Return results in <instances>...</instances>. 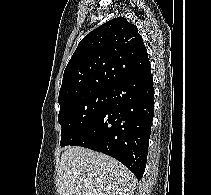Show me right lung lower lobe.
Masks as SVG:
<instances>
[{
  "label": "right lung lower lobe",
  "mask_w": 211,
  "mask_h": 195,
  "mask_svg": "<svg viewBox=\"0 0 211 195\" xmlns=\"http://www.w3.org/2000/svg\"><path fill=\"white\" fill-rule=\"evenodd\" d=\"M154 115L151 69L110 88L109 102L72 144L107 154L142 178Z\"/></svg>",
  "instance_id": "98d812e1"
}]
</instances>
